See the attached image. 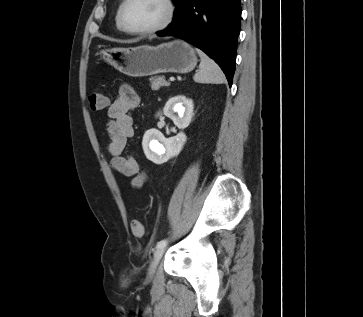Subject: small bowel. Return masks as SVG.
<instances>
[{
    "label": "small bowel",
    "instance_id": "1",
    "mask_svg": "<svg viewBox=\"0 0 363 317\" xmlns=\"http://www.w3.org/2000/svg\"><path fill=\"white\" fill-rule=\"evenodd\" d=\"M140 96L129 85H122L115 100L108 107L107 132L110 138L107 151L111 166L124 177L131 178L133 188L141 187L146 175L134 154H125L127 141L134 134L130 112L140 104Z\"/></svg>",
    "mask_w": 363,
    "mask_h": 317
}]
</instances>
